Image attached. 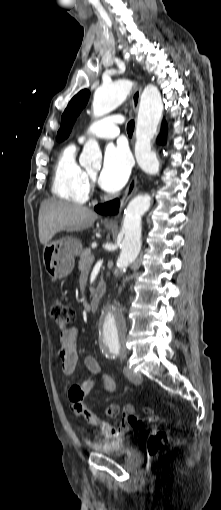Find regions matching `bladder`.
<instances>
[{
	"label": "bladder",
	"instance_id": "obj_1",
	"mask_svg": "<svg viewBox=\"0 0 221 510\" xmlns=\"http://www.w3.org/2000/svg\"><path fill=\"white\" fill-rule=\"evenodd\" d=\"M134 437L127 435L117 441L100 440L90 447L93 451L110 457H123L134 448Z\"/></svg>",
	"mask_w": 221,
	"mask_h": 510
}]
</instances>
